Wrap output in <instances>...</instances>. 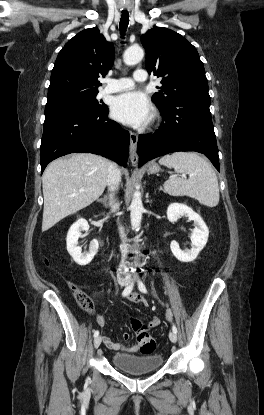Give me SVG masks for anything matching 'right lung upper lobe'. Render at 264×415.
I'll return each instance as SVG.
<instances>
[{"label":"right lung upper lobe","instance_id":"cb5924a9","mask_svg":"<svg viewBox=\"0 0 264 415\" xmlns=\"http://www.w3.org/2000/svg\"><path fill=\"white\" fill-rule=\"evenodd\" d=\"M114 47L98 28L85 29L59 52L51 73L48 98L69 92H98L97 80L112 67Z\"/></svg>","mask_w":264,"mask_h":415}]
</instances>
